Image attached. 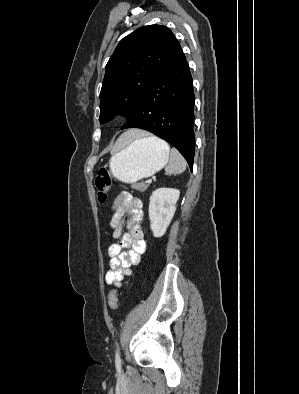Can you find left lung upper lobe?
<instances>
[{
  "label": "left lung upper lobe",
  "instance_id": "left-lung-upper-lobe-1",
  "mask_svg": "<svg viewBox=\"0 0 299 394\" xmlns=\"http://www.w3.org/2000/svg\"><path fill=\"white\" fill-rule=\"evenodd\" d=\"M182 53L171 30L142 26L123 38L110 57L100 92V124L114 114L130 118L154 80Z\"/></svg>",
  "mask_w": 299,
  "mask_h": 394
}]
</instances>
